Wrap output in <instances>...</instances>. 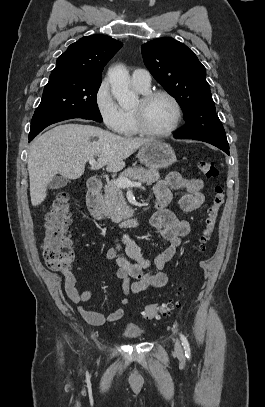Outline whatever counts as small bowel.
<instances>
[{"mask_svg":"<svg viewBox=\"0 0 265 407\" xmlns=\"http://www.w3.org/2000/svg\"><path fill=\"white\" fill-rule=\"evenodd\" d=\"M202 188L203 181L200 178H186L178 172H170L164 180L155 185L156 205L151 216V225L157 235L168 243V246L154 259L143 257L137 244L127 236L122 237V245L118 244L107 251V259L116 264L115 276L122 280L125 294L122 306L114 312L104 315L84 309L82 304L91 299V291H80L77 288L74 274L66 269L61 271L67 296L72 302L79 305V312L88 324L101 326L118 321L124 315L123 306L127 305V297L130 294H137L148 287L162 288L167 285L168 276L164 269L178 252L182 239L190 233V224L188 221L178 218L166 208V205L171 199L172 190H182L184 195L180 200V208L185 212H193L204 203ZM122 248L127 256L135 261L134 263L121 254Z\"/></svg>","mask_w":265,"mask_h":407,"instance_id":"c3829d8e","label":"small bowel"}]
</instances>
